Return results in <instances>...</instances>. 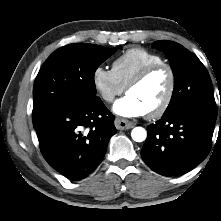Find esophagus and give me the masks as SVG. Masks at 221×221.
I'll return each instance as SVG.
<instances>
[{
	"instance_id": "obj_1",
	"label": "esophagus",
	"mask_w": 221,
	"mask_h": 221,
	"mask_svg": "<svg viewBox=\"0 0 221 221\" xmlns=\"http://www.w3.org/2000/svg\"><path fill=\"white\" fill-rule=\"evenodd\" d=\"M115 126L118 130H127L130 128H133L135 126V123L130 122L126 119L116 118L115 119Z\"/></svg>"
}]
</instances>
